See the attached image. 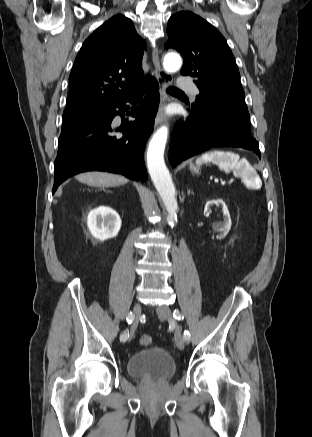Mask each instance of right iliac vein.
<instances>
[{
  "mask_svg": "<svg viewBox=\"0 0 312 437\" xmlns=\"http://www.w3.org/2000/svg\"><path fill=\"white\" fill-rule=\"evenodd\" d=\"M133 313H134V320H133V324H132V327H131V335L133 334V332L137 328L139 316L141 314V305L139 303H136L134 305Z\"/></svg>",
  "mask_w": 312,
  "mask_h": 437,
  "instance_id": "obj_1",
  "label": "right iliac vein"
}]
</instances>
